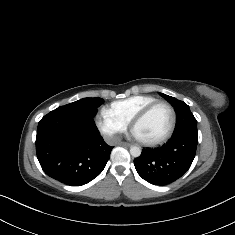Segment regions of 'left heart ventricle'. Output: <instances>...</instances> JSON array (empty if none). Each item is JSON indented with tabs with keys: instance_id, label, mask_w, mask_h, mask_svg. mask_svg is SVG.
<instances>
[{
	"instance_id": "obj_1",
	"label": "left heart ventricle",
	"mask_w": 235,
	"mask_h": 235,
	"mask_svg": "<svg viewBox=\"0 0 235 235\" xmlns=\"http://www.w3.org/2000/svg\"><path fill=\"white\" fill-rule=\"evenodd\" d=\"M171 114L167 107L160 106L153 110L150 115L139 122L133 133L141 141H152L164 136L170 127Z\"/></svg>"
}]
</instances>
